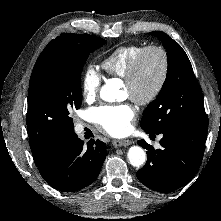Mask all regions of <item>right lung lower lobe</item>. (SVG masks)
I'll return each instance as SVG.
<instances>
[{"label":"right lung lower lobe","mask_w":221,"mask_h":221,"mask_svg":"<svg viewBox=\"0 0 221 221\" xmlns=\"http://www.w3.org/2000/svg\"><path fill=\"white\" fill-rule=\"evenodd\" d=\"M107 155L106 144L90 140L87 146L71 133L58 141L37 164L44 180L53 188L64 191H79L92 184Z\"/></svg>","instance_id":"1"}]
</instances>
